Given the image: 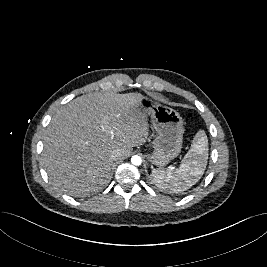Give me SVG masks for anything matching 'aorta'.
I'll return each mask as SVG.
<instances>
[{
	"mask_svg": "<svg viewBox=\"0 0 267 267\" xmlns=\"http://www.w3.org/2000/svg\"><path fill=\"white\" fill-rule=\"evenodd\" d=\"M131 163L135 166H139L142 163V158L138 155H134L131 158Z\"/></svg>",
	"mask_w": 267,
	"mask_h": 267,
	"instance_id": "1",
	"label": "aorta"
}]
</instances>
